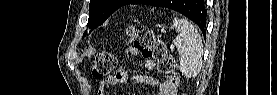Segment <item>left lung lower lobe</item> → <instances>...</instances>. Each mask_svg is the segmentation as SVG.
Wrapping results in <instances>:
<instances>
[{
    "label": "left lung lower lobe",
    "instance_id": "0a47b994",
    "mask_svg": "<svg viewBox=\"0 0 277 95\" xmlns=\"http://www.w3.org/2000/svg\"><path fill=\"white\" fill-rule=\"evenodd\" d=\"M155 3H161L162 7L173 9L178 11L194 21L205 35L206 26V10L203 4V0H132L129 4H146L152 5ZM171 3V5H168Z\"/></svg>",
    "mask_w": 277,
    "mask_h": 95
}]
</instances>
